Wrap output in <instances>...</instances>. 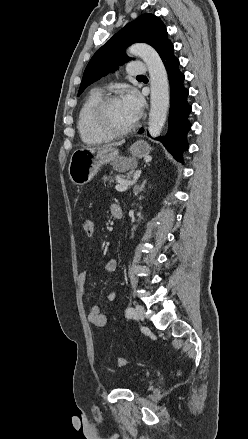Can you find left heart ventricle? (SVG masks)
I'll return each instance as SVG.
<instances>
[{
    "label": "left heart ventricle",
    "mask_w": 248,
    "mask_h": 439,
    "mask_svg": "<svg viewBox=\"0 0 248 439\" xmlns=\"http://www.w3.org/2000/svg\"><path fill=\"white\" fill-rule=\"evenodd\" d=\"M107 116L110 125L117 129L127 128L135 122V119L121 99L110 104Z\"/></svg>",
    "instance_id": "obj_1"
}]
</instances>
